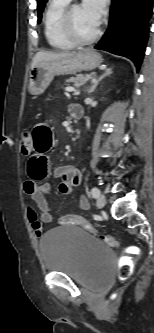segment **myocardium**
<instances>
[{
	"instance_id": "1",
	"label": "myocardium",
	"mask_w": 154,
	"mask_h": 333,
	"mask_svg": "<svg viewBox=\"0 0 154 333\" xmlns=\"http://www.w3.org/2000/svg\"><path fill=\"white\" fill-rule=\"evenodd\" d=\"M78 6V4L73 3L66 6L61 16V29L63 34L75 45H88L95 42L101 35V28L98 27L96 32L88 37L82 38L80 37L74 30L72 24V10L74 7Z\"/></svg>"
}]
</instances>
